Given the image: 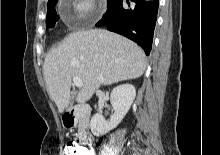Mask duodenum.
Returning a JSON list of instances; mask_svg holds the SVG:
<instances>
[{
    "label": "duodenum",
    "mask_w": 220,
    "mask_h": 155,
    "mask_svg": "<svg viewBox=\"0 0 220 155\" xmlns=\"http://www.w3.org/2000/svg\"><path fill=\"white\" fill-rule=\"evenodd\" d=\"M89 112L90 109L87 105H77L65 114V123L69 126H72L78 118L86 117ZM80 142L88 145L91 142V136L88 133H83L80 136Z\"/></svg>",
    "instance_id": "410a0bca"
}]
</instances>
